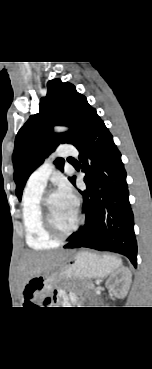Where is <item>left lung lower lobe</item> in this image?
<instances>
[{
	"instance_id": "obj_1",
	"label": "left lung lower lobe",
	"mask_w": 152,
	"mask_h": 369,
	"mask_svg": "<svg viewBox=\"0 0 152 369\" xmlns=\"http://www.w3.org/2000/svg\"><path fill=\"white\" fill-rule=\"evenodd\" d=\"M85 172V224L64 248L88 247L125 255L137 265L134 216L129 203L126 171L113 137L95 111L74 145ZM75 184V178L72 181Z\"/></svg>"
}]
</instances>
